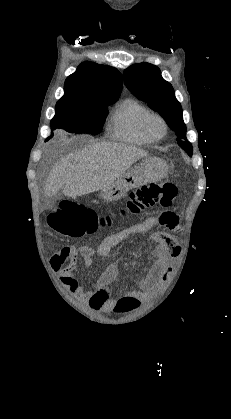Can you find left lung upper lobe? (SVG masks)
Listing matches in <instances>:
<instances>
[{"label": "left lung upper lobe", "instance_id": "5c2ea615", "mask_svg": "<svg viewBox=\"0 0 231 419\" xmlns=\"http://www.w3.org/2000/svg\"><path fill=\"white\" fill-rule=\"evenodd\" d=\"M123 76L126 87L164 118L175 131L178 145L191 156L192 145L186 138L181 104L172 85L162 78L160 69L150 63H139L125 69Z\"/></svg>", "mask_w": 231, "mask_h": 419}]
</instances>
